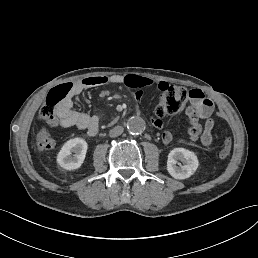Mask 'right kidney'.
Wrapping results in <instances>:
<instances>
[{"label":"right kidney","mask_w":258,"mask_h":258,"mask_svg":"<svg viewBox=\"0 0 258 258\" xmlns=\"http://www.w3.org/2000/svg\"><path fill=\"white\" fill-rule=\"evenodd\" d=\"M87 147V142L82 138L68 140L57 155V163L66 170L79 168L85 159Z\"/></svg>","instance_id":"ca27d5eb"}]
</instances>
